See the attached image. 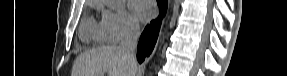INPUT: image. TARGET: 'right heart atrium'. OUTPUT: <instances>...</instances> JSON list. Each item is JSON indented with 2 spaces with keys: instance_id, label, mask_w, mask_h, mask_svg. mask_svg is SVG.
<instances>
[{
  "instance_id": "obj_1",
  "label": "right heart atrium",
  "mask_w": 287,
  "mask_h": 76,
  "mask_svg": "<svg viewBox=\"0 0 287 76\" xmlns=\"http://www.w3.org/2000/svg\"><path fill=\"white\" fill-rule=\"evenodd\" d=\"M101 27L107 42L118 43L135 36L139 32L140 25L126 10L110 6L102 8Z\"/></svg>"
}]
</instances>
